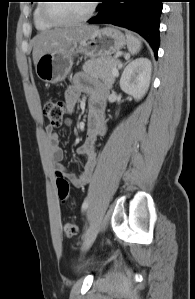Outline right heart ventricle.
<instances>
[{
  "label": "right heart ventricle",
  "mask_w": 195,
  "mask_h": 299,
  "mask_svg": "<svg viewBox=\"0 0 195 299\" xmlns=\"http://www.w3.org/2000/svg\"><path fill=\"white\" fill-rule=\"evenodd\" d=\"M44 1H38V3L36 4L35 8H34V11H33V22H34V25L35 27L38 29V30H41V31H45V30H49L51 28L54 27V25L48 23L42 16V13H41V8H42V5Z\"/></svg>",
  "instance_id": "e07e8e85"
}]
</instances>
